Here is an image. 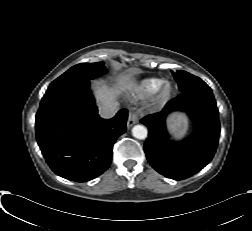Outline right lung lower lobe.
Wrapping results in <instances>:
<instances>
[{"mask_svg": "<svg viewBox=\"0 0 252 231\" xmlns=\"http://www.w3.org/2000/svg\"><path fill=\"white\" fill-rule=\"evenodd\" d=\"M78 82L43 96L36 114V137L46 162L63 178L85 182L106 171L116 139L126 131L127 110L103 119L90 91Z\"/></svg>", "mask_w": 252, "mask_h": 231, "instance_id": "1", "label": "right lung lower lobe"}]
</instances>
